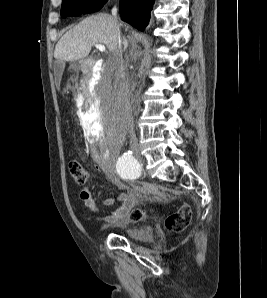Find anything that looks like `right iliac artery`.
Wrapping results in <instances>:
<instances>
[{
	"label": "right iliac artery",
	"instance_id": "right-iliac-artery-1",
	"mask_svg": "<svg viewBox=\"0 0 267 298\" xmlns=\"http://www.w3.org/2000/svg\"><path fill=\"white\" fill-rule=\"evenodd\" d=\"M121 162L123 164H125L126 166H130V167H137L139 166V163L137 162V160L133 157L132 152L128 151L125 152L122 157H121Z\"/></svg>",
	"mask_w": 267,
	"mask_h": 298
}]
</instances>
